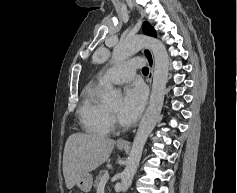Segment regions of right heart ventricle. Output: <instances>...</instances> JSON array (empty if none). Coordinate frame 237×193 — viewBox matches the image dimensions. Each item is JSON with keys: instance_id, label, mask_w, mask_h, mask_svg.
I'll list each match as a JSON object with an SVG mask.
<instances>
[{"instance_id": "obj_1", "label": "right heart ventricle", "mask_w": 237, "mask_h": 193, "mask_svg": "<svg viewBox=\"0 0 237 193\" xmlns=\"http://www.w3.org/2000/svg\"><path fill=\"white\" fill-rule=\"evenodd\" d=\"M103 84H87L81 93L78 116L84 130L93 135H106L111 131L107 108L100 101Z\"/></svg>"}]
</instances>
